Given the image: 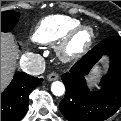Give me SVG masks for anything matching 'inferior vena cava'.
Listing matches in <instances>:
<instances>
[{
  "instance_id": "obj_1",
  "label": "inferior vena cava",
  "mask_w": 121,
  "mask_h": 121,
  "mask_svg": "<svg viewBox=\"0 0 121 121\" xmlns=\"http://www.w3.org/2000/svg\"><path fill=\"white\" fill-rule=\"evenodd\" d=\"M20 67L25 73L37 76L45 71V61L41 55L33 54L27 61H22Z\"/></svg>"
}]
</instances>
